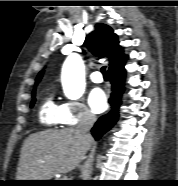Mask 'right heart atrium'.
Segmentation results:
<instances>
[{"label":"right heart atrium","mask_w":178,"mask_h":186,"mask_svg":"<svg viewBox=\"0 0 178 186\" xmlns=\"http://www.w3.org/2000/svg\"><path fill=\"white\" fill-rule=\"evenodd\" d=\"M65 124L75 126L81 123H91L95 115L80 101H69L63 104Z\"/></svg>","instance_id":"obj_1"}]
</instances>
